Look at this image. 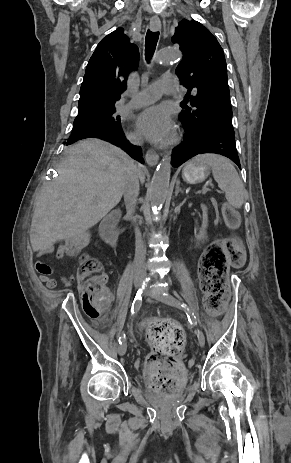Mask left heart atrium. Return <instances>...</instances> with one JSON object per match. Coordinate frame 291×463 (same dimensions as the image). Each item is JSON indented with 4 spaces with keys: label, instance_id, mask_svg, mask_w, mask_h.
Instances as JSON below:
<instances>
[{
    "label": "left heart atrium",
    "instance_id": "1",
    "mask_svg": "<svg viewBox=\"0 0 291 463\" xmlns=\"http://www.w3.org/2000/svg\"><path fill=\"white\" fill-rule=\"evenodd\" d=\"M136 126L140 134L152 142H163L172 132L169 113L162 106H152L139 113Z\"/></svg>",
    "mask_w": 291,
    "mask_h": 463
}]
</instances>
